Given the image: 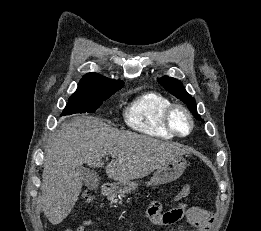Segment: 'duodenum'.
<instances>
[{"label":"duodenum","instance_id":"duodenum-1","mask_svg":"<svg viewBox=\"0 0 261 231\" xmlns=\"http://www.w3.org/2000/svg\"><path fill=\"white\" fill-rule=\"evenodd\" d=\"M111 192H112V189H111L110 186H108V185H102V186L100 187V193H101L102 195L107 196V195H109Z\"/></svg>","mask_w":261,"mask_h":231}]
</instances>
